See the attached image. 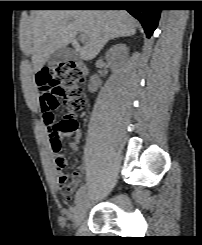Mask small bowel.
Masks as SVG:
<instances>
[{
  "label": "small bowel",
  "mask_w": 202,
  "mask_h": 245,
  "mask_svg": "<svg viewBox=\"0 0 202 245\" xmlns=\"http://www.w3.org/2000/svg\"><path fill=\"white\" fill-rule=\"evenodd\" d=\"M39 89V88H38ZM40 90V89H39ZM37 93V97L39 98V91ZM50 98L52 100V103L54 105V109H56L57 107V100L54 96V94L50 95ZM59 134H63L66 137L70 138L72 140L71 142V147L73 149H76V145L78 143V141L80 140L81 137V131L79 129L78 126H75V128L69 132L67 131H63L61 128H57ZM50 144H51V150L53 153V165H52V172L55 175L58 187L60 188H64V195L65 196H69L70 194H72L73 190L78 186V184L80 183L84 171H85V166H79L73 173L71 181L69 183L68 182V178L69 175L65 172V168L67 165V161L66 158L64 157V155L61 153V149L59 150H55L53 148V145L51 143V140L49 138Z\"/></svg>",
  "instance_id": "obj_1"
}]
</instances>
